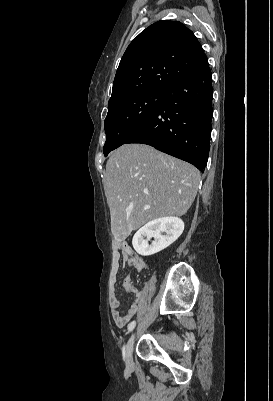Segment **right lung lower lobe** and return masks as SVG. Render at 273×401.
<instances>
[{
  "mask_svg": "<svg viewBox=\"0 0 273 401\" xmlns=\"http://www.w3.org/2000/svg\"><path fill=\"white\" fill-rule=\"evenodd\" d=\"M212 75L203 69L164 92L160 105L125 143H142L203 171L211 134Z\"/></svg>",
  "mask_w": 273,
  "mask_h": 401,
  "instance_id": "right-lung-lower-lobe-1",
  "label": "right lung lower lobe"
}]
</instances>
